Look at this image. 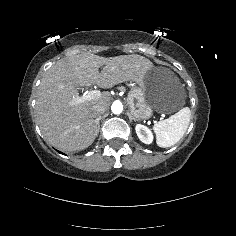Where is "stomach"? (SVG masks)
Listing matches in <instances>:
<instances>
[{
    "instance_id": "obj_1",
    "label": "stomach",
    "mask_w": 236,
    "mask_h": 236,
    "mask_svg": "<svg viewBox=\"0 0 236 236\" xmlns=\"http://www.w3.org/2000/svg\"><path fill=\"white\" fill-rule=\"evenodd\" d=\"M139 87L128 94L127 102L136 120L149 119L153 111L172 114L184 104L186 93L173 72L154 67L147 72Z\"/></svg>"
}]
</instances>
